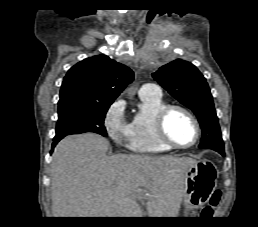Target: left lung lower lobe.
I'll return each instance as SVG.
<instances>
[{"instance_id":"left-lung-lower-lobe-1","label":"left lung lower lobe","mask_w":258,"mask_h":227,"mask_svg":"<svg viewBox=\"0 0 258 227\" xmlns=\"http://www.w3.org/2000/svg\"><path fill=\"white\" fill-rule=\"evenodd\" d=\"M219 153L222 154L223 156L225 155L224 150L220 151Z\"/></svg>"}]
</instances>
